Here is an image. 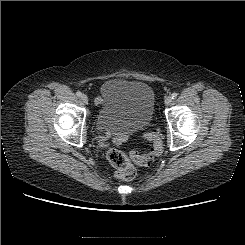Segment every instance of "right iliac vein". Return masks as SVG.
<instances>
[{
  "label": "right iliac vein",
  "mask_w": 245,
  "mask_h": 245,
  "mask_svg": "<svg viewBox=\"0 0 245 245\" xmlns=\"http://www.w3.org/2000/svg\"><path fill=\"white\" fill-rule=\"evenodd\" d=\"M81 100L83 101V103L88 104L89 99H88L87 95L83 94L81 96Z\"/></svg>",
  "instance_id": "1"
}]
</instances>
